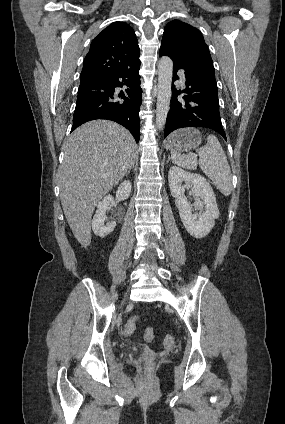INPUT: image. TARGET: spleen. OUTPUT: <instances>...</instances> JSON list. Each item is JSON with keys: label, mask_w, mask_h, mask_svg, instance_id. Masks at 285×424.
Here are the masks:
<instances>
[{"label": "spleen", "mask_w": 285, "mask_h": 424, "mask_svg": "<svg viewBox=\"0 0 285 424\" xmlns=\"http://www.w3.org/2000/svg\"><path fill=\"white\" fill-rule=\"evenodd\" d=\"M199 160L191 155H183L171 150L173 162L183 168L196 169L197 165L207 177L211 179L216 188L225 196L232 191V175L224 150L214 135L207 137V144L197 149Z\"/></svg>", "instance_id": "spleen-1"}]
</instances>
